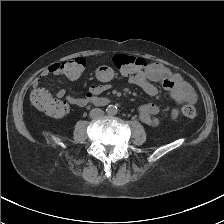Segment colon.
Listing matches in <instances>:
<instances>
[{
    "instance_id": "1",
    "label": "colon",
    "mask_w": 224,
    "mask_h": 224,
    "mask_svg": "<svg viewBox=\"0 0 224 224\" xmlns=\"http://www.w3.org/2000/svg\"><path fill=\"white\" fill-rule=\"evenodd\" d=\"M112 61L119 71L128 76L135 75L147 67V63L143 58L124 54L115 55ZM86 65V60L78 57L59 62L58 69L61 76L73 80L82 75ZM31 101L37 109L54 118L63 117L68 111V106L64 101L53 97L47 90L42 88L35 89L32 92ZM181 114L184 118L193 120L197 117L198 112L195 106L186 103L181 107Z\"/></svg>"
}]
</instances>
